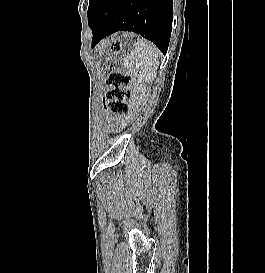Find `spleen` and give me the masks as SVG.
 Returning a JSON list of instances; mask_svg holds the SVG:
<instances>
[{"label": "spleen", "instance_id": "spleen-1", "mask_svg": "<svg viewBox=\"0 0 265 273\" xmlns=\"http://www.w3.org/2000/svg\"><path fill=\"white\" fill-rule=\"evenodd\" d=\"M129 61L130 71L133 74L147 83L153 81L158 65V51L152 43L139 40L129 55Z\"/></svg>", "mask_w": 265, "mask_h": 273}]
</instances>
